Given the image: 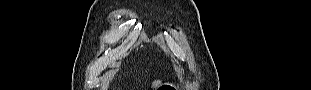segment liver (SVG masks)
<instances>
[{"mask_svg": "<svg viewBox=\"0 0 311 90\" xmlns=\"http://www.w3.org/2000/svg\"><path fill=\"white\" fill-rule=\"evenodd\" d=\"M160 83H161L160 80L154 81V82L152 83V86L155 88V87H157Z\"/></svg>", "mask_w": 311, "mask_h": 90, "instance_id": "liver-1", "label": "liver"}]
</instances>
